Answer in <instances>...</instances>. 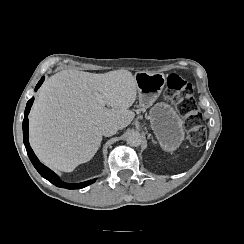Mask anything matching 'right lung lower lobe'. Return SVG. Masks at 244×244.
Returning <instances> with one entry per match:
<instances>
[{"label":"right lung lower lobe","instance_id":"right-lung-lower-lobe-1","mask_svg":"<svg viewBox=\"0 0 244 244\" xmlns=\"http://www.w3.org/2000/svg\"><path fill=\"white\" fill-rule=\"evenodd\" d=\"M44 81V77H42L40 79V81L38 82V84L36 85L35 91H37V89L41 86V84ZM34 98H31L26 105V109H25V117L23 120V137H24V145L26 147L27 150V154L32 162V164L34 165V167L36 168V170L40 173V175L42 177H44L45 179H47L48 181H50L52 184L58 186V187H63L66 189H80V188H84L92 183L95 182V179L86 181V182H82V183H77V184H67L62 182L58 176L51 171L49 168H47L46 166H44L42 163H40V161L38 160V158L36 157V155L34 154L33 150L30 147L29 144V134H28V114L29 111L31 109V106L33 104Z\"/></svg>","mask_w":244,"mask_h":244}]
</instances>
